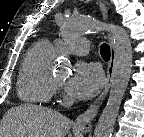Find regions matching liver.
<instances>
[{"label":"liver","instance_id":"obj_1","mask_svg":"<svg viewBox=\"0 0 144 137\" xmlns=\"http://www.w3.org/2000/svg\"><path fill=\"white\" fill-rule=\"evenodd\" d=\"M72 122L42 106L23 104L9 109L0 124V137H65Z\"/></svg>","mask_w":144,"mask_h":137}]
</instances>
